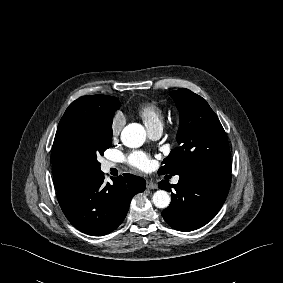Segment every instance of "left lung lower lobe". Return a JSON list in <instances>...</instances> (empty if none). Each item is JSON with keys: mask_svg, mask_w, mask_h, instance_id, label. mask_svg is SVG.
<instances>
[{"mask_svg": "<svg viewBox=\"0 0 283 283\" xmlns=\"http://www.w3.org/2000/svg\"><path fill=\"white\" fill-rule=\"evenodd\" d=\"M179 177L176 185L164 180L158 184L159 188L172 193L171 204L163 210L162 216L176 230L193 231L218 213L227 197L231 177L213 178L193 173Z\"/></svg>", "mask_w": 283, "mask_h": 283, "instance_id": "1", "label": "left lung lower lobe"}]
</instances>
